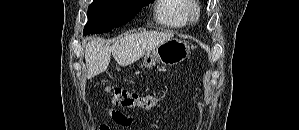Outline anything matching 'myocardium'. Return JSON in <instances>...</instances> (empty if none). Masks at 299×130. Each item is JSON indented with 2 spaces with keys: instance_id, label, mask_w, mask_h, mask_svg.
Wrapping results in <instances>:
<instances>
[{
  "instance_id": "1",
  "label": "myocardium",
  "mask_w": 299,
  "mask_h": 130,
  "mask_svg": "<svg viewBox=\"0 0 299 130\" xmlns=\"http://www.w3.org/2000/svg\"><path fill=\"white\" fill-rule=\"evenodd\" d=\"M199 6L195 1L190 0L186 11L188 20L196 22L199 19Z\"/></svg>"
}]
</instances>
